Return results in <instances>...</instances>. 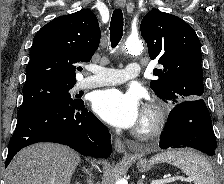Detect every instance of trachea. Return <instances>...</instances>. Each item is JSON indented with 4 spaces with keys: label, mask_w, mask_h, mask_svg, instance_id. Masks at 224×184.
Segmentation results:
<instances>
[{
    "label": "trachea",
    "mask_w": 224,
    "mask_h": 184,
    "mask_svg": "<svg viewBox=\"0 0 224 184\" xmlns=\"http://www.w3.org/2000/svg\"><path fill=\"white\" fill-rule=\"evenodd\" d=\"M123 36V13L121 9H115L110 22L111 47L115 48Z\"/></svg>",
    "instance_id": "trachea-1"
}]
</instances>
